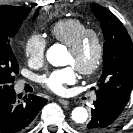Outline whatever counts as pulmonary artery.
Here are the masks:
<instances>
[{"label":"pulmonary artery","mask_w":133,"mask_h":133,"mask_svg":"<svg viewBox=\"0 0 133 133\" xmlns=\"http://www.w3.org/2000/svg\"><path fill=\"white\" fill-rule=\"evenodd\" d=\"M23 85H24L23 81L18 82L17 85H16V90L21 91L22 88H23Z\"/></svg>","instance_id":"e3ab8cb5"}]
</instances>
